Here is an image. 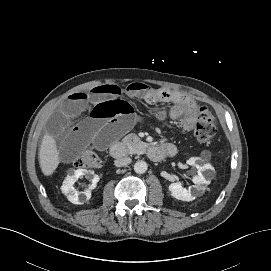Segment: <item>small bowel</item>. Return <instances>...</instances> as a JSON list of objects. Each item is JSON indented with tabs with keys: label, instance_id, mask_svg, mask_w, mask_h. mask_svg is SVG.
Masks as SVG:
<instances>
[{
	"label": "small bowel",
	"instance_id": "1",
	"mask_svg": "<svg viewBox=\"0 0 271 271\" xmlns=\"http://www.w3.org/2000/svg\"><path fill=\"white\" fill-rule=\"evenodd\" d=\"M130 99H142L149 104L169 103L159 112V117L171 120L184 114L191 99L178 91L155 89L140 82L129 84L124 90L105 84L89 91L75 92L60 105L48 122V133L53 137L59 156L65 163L73 161L91 142L103 148L109 141L129 131L135 122V112ZM88 116L78 124L73 121L83 112ZM168 156L176 153L172 143L162 146Z\"/></svg>",
	"mask_w": 271,
	"mask_h": 271
}]
</instances>
